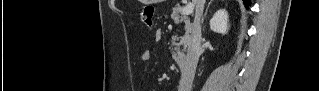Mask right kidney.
Segmentation results:
<instances>
[{
  "mask_svg": "<svg viewBox=\"0 0 319 91\" xmlns=\"http://www.w3.org/2000/svg\"><path fill=\"white\" fill-rule=\"evenodd\" d=\"M210 28L216 33L226 34L228 26V13L225 9L218 10L210 20Z\"/></svg>",
  "mask_w": 319,
  "mask_h": 91,
  "instance_id": "right-kidney-1",
  "label": "right kidney"
}]
</instances>
